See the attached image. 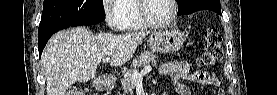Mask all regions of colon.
<instances>
[{
	"label": "colon",
	"mask_w": 277,
	"mask_h": 95,
	"mask_svg": "<svg viewBox=\"0 0 277 95\" xmlns=\"http://www.w3.org/2000/svg\"><path fill=\"white\" fill-rule=\"evenodd\" d=\"M205 46L202 54L198 58L200 67L209 68L213 66L223 56L222 43L223 39L218 29L207 28L204 32ZM69 95H84L85 92L76 87H71Z\"/></svg>",
	"instance_id": "1"
}]
</instances>
